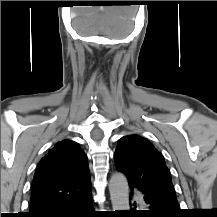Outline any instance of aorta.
Instances as JSON below:
<instances>
[{
    "instance_id": "762f6f07",
    "label": "aorta",
    "mask_w": 217,
    "mask_h": 217,
    "mask_svg": "<svg viewBox=\"0 0 217 217\" xmlns=\"http://www.w3.org/2000/svg\"><path fill=\"white\" fill-rule=\"evenodd\" d=\"M109 192L113 211L130 209L128 181L122 173L112 175L109 181Z\"/></svg>"
}]
</instances>
